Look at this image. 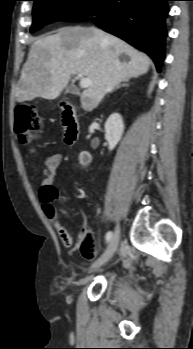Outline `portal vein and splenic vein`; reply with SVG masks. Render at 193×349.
Returning <instances> with one entry per match:
<instances>
[{"instance_id": "portal-vein-and-splenic-vein-1", "label": "portal vein and splenic vein", "mask_w": 193, "mask_h": 349, "mask_svg": "<svg viewBox=\"0 0 193 349\" xmlns=\"http://www.w3.org/2000/svg\"><path fill=\"white\" fill-rule=\"evenodd\" d=\"M81 79H80V87L81 88H88L92 85V81L90 78H87V77H83L82 74H78Z\"/></svg>"}]
</instances>
